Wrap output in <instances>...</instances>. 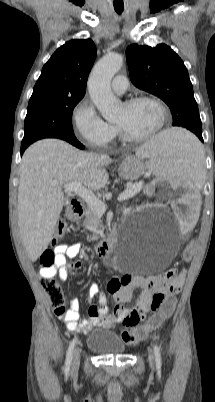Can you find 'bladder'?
Returning <instances> with one entry per match:
<instances>
[{
  "label": "bladder",
  "instance_id": "obj_1",
  "mask_svg": "<svg viewBox=\"0 0 215 402\" xmlns=\"http://www.w3.org/2000/svg\"><path fill=\"white\" fill-rule=\"evenodd\" d=\"M86 343L91 351L103 355H117L125 351L121 338L110 329H95L88 336Z\"/></svg>",
  "mask_w": 215,
  "mask_h": 402
}]
</instances>
